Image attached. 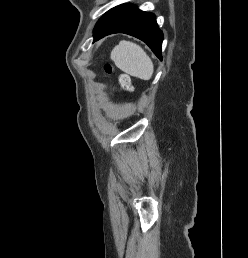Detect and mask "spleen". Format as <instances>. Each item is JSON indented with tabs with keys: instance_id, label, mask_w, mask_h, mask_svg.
Wrapping results in <instances>:
<instances>
[{
	"instance_id": "1",
	"label": "spleen",
	"mask_w": 248,
	"mask_h": 258,
	"mask_svg": "<svg viewBox=\"0 0 248 258\" xmlns=\"http://www.w3.org/2000/svg\"><path fill=\"white\" fill-rule=\"evenodd\" d=\"M111 60L123 72L142 80L151 79L154 66L141 46L122 40L111 52Z\"/></svg>"
}]
</instances>
